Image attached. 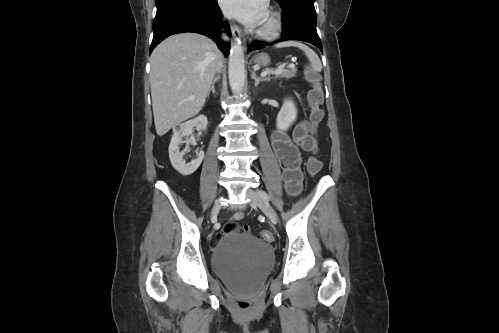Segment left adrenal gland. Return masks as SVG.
Returning <instances> with one entry per match:
<instances>
[{
	"instance_id": "left-adrenal-gland-1",
	"label": "left adrenal gland",
	"mask_w": 499,
	"mask_h": 333,
	"mask_svg": "<svg viewBox=\"0 0 499 333\" xmlns=\"http://www.w3.org/2000/svg\"><path fill=\"white\" fill-rule=\"evenodd\" d=\"M251 78L255 80V87H257L259 85L260 82H264V81H267L266 78H263V77H257L256 76V73L253 71L252 74H251Z\"/></svg>"
}]
</instances>
